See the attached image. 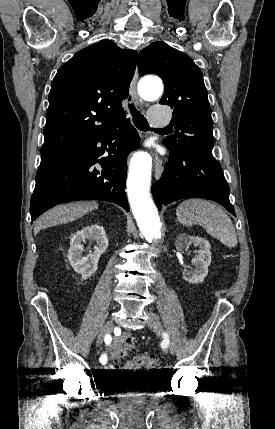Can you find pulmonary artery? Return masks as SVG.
<instances>
[{
    "instance_id": "1",
    "label": "pulmonary artery",
    "mask_w": 275,
    "mask_h": 429,
    "mask_svg": "<svg viewBox=\"0 0 275 429\" xmlns=\"http://www.w3.org/2000/svg\"><path fill=\"white\" fill-rule=\"evenodd\" d=\"M150 123L155 127H163L169 123L168 113L161 107H153L148 113Z\"/></svg>"
}]
</instances>
